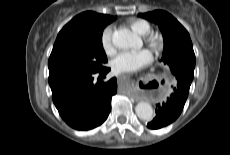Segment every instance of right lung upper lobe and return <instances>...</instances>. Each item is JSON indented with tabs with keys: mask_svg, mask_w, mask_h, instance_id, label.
<instances>
[{
	"mask_svg": "<svg viewBox=\"0 0 230 155\" xmlns=\"http://www.w3.org/2000/svg\"><path fill=\"white\" fill-rule=\"evenodd\" d=\"M115 16L98 14L92 11L83 12L68 22L59 32L55 42L61 40H83L97 37Z\"/></svg>",
	"mask_w": 230,
	"mask_h": 155,
	"instance_id": "1",
	"label": "right lung upper lobe"
}]
</instances>
